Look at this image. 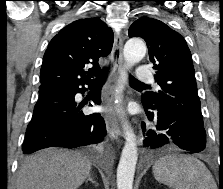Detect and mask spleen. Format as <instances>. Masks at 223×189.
<instances>
[{
	"label": "spleen",
	"mask_w": 223,
	"mask_h": 189,
	"mask_svg": "<svg viewBox=\"0 0 223 189\" xmlns=\"http://www.w3.org/2000/svg\"><path fill=\"white\" fill-rule=\"evenodd\" d=\"M153 174L158 182L174 189H217L210 171L191 156H163L155 162Z\"/></svg>",
	"instance_id": "spleen-1"
}]
</instances>
